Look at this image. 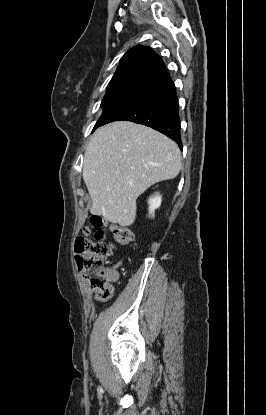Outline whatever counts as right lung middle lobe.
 <instances>
[{"label": "right lung middle lobe", "instance_id": "dd1d6c3e", "mask_svg": "<svg viewBox=\"0 0 266 415\" xmlns=\"http://www.w3.org/2000/svg\"><path fill=\"white\" fill-rule=\"evenodd\" d=\"M147 95L148 93H145V92L127 91V90L106 92L101 102L103 113L98 119L97 123L95 124L93 130H95L99 126L106 124L109 118L113 116L114 114H116L117 112L142 100Z\"/></svg>", "mask_w": 266, "mask_h": 415}]
</instances>
